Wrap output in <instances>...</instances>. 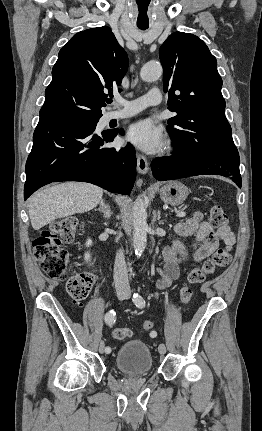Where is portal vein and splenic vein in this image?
Wrapping results in <instances>:
<instances>
[{
  "label": "portal vein and splenic vein",
  "instance_id": "1",
  "mask_svg": "<svg viewBox=\"0 0 262 431\" xmlns=\"http://www.w3.org/2000/svg\"><path fill=\"white\" fill-rule=\"evenodd\" d=\"M186 215V213L185 212H179L178 214H177V217H184Z\"/></svg>",
  "mask_w": 262,
  "mask_h": 431
}]
</instances>
